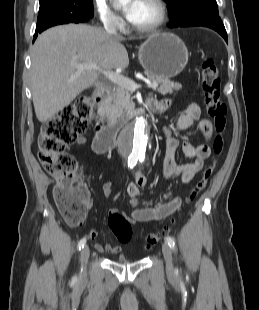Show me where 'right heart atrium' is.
Returning a JSON list of instances; mask_svg holds the SVG:
<instances>
[{
  "label": "right heart atrium",
  "instance_id": "right-heart-atrium-1",
  "mask_svg": "<svg viewBox=\"0 0 259 310\" xmlns=\"http://www.w3.org/2000/svg\"><path fill=\"white\" fill-rule=\"evenodd\" d=\"M96 11L107 28L114 29L122 26L121 18L107 6L105 0H96Z\"/></svg>",
  "mask_w": 259,
  "mask_h": 310
}]
</instances>
